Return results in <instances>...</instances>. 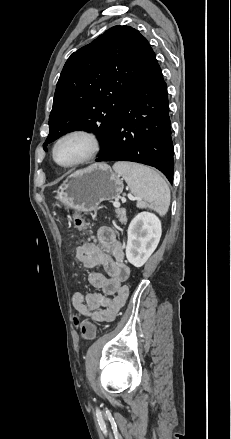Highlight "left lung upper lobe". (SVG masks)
<instances>
[{
	"label": "left lung upper lobe",
	"mask_w": 231,
	"mask_h": 439,
	"mask_svg": "<svg viewBox=\"0 0 231 439\" xmlns=\"http://www.w3.org/2000/svg\"><path fill=\"white\" fill-rule=\"evenodd\" d=\"M153 50L130 26H114L72 53L58 80L43 144L74 130L95 132L101 151Z\"/></svg>",
	"instance_id": "left-lung-upper-lobe-1"
}]
</instances>
